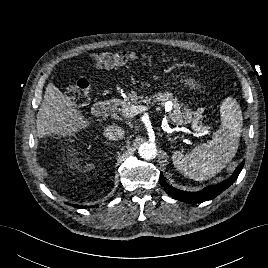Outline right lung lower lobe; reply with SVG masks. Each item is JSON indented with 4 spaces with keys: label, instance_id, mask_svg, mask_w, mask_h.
Instances as JSON below:
<instances>
[{
    "label": "right lung lower lobe",
    "instance_id": "98d812e1",
    "mask_svg": "<svg viewBox=\"0 0 268 268\" xmlns=\"http://www.w3.org/2000/svg\"><path fill=\"white\" fill-rule=\"evenodd\" d=\"M74 207L76 208H91V207H94V206H80V205H73Z\"/></svg>",
    "mask_w": 268,
    "mask_h": 268
}]
</instances>
